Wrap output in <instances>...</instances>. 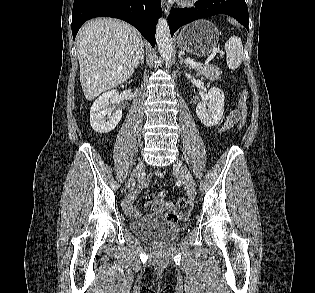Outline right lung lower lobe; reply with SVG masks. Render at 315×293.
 <instances>
[{"label":"right lung lower lobe","mask_w":315,"mask_h":293,"mask_svg":"<svg viewBox=\"0 0 315 293\" xmlns=\"http://www.w3.org/2000/svg\"><path fill=\"white\" fill-rule=\"evenodd\" d=\"M114 17L132 24L142 36L155 46L156 22L161 16L160 0H75L72 11V34L87 20Z\"/></svg>","instance_id":"right-lung-lower-lobe-1"}]
</instances>
